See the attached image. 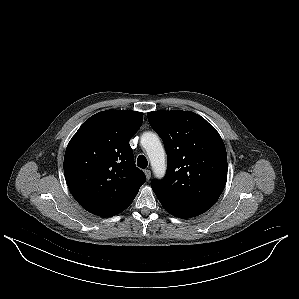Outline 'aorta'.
<instances>
[{"instance_id":"obj_1","label":"aorta","mask_w":299,"mask_h":299,"mask_svg":"<svg viewBox=\"0 0 299 299\" xmlns=\"http://www.w3.org/2000/svg\"><path fill=\"white\" fill-rule=\"evenodd\" d=\"M141 144L147 152L155 175L163 177L166 170L165 150L158 136L152 132H145L141 136Z\"/></svg>"}]
</instances>
